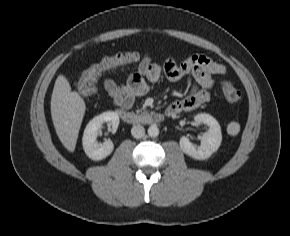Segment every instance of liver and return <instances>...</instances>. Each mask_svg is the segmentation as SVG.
<instances>
[{"mask_svg": "<svg viewBox=\"0 0 290 236\" xmlns=\"http://www.w3.org/2000/svg\"><path fill=\"white\" fill-rule=\"evenodd\" d=\"M85 110L83 98L71 91L68 80L60 74L51 96V116L59 140L70 152L75 150Z\"/></svg>", "mask_w": 290, "mask_h": 236, "instance_id": "liver-1", "label": "liver"}]
</instances>
